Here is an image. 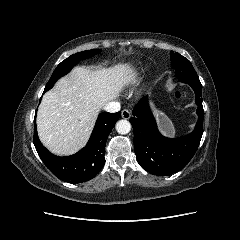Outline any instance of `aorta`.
I'll list each match as a JSON object with an SVG mask.
<instances>
[{"label": "aorta", "instance_id": "obj_1", "mask_svg": "<svg viewBox=\"0 0 240 240\" xmlns=\"http://www.w3.org/2000/svg\"><path fill=\"white\" fill-rule=\"evenodd\" d=\"M131 130V124L129 121L127 120H119L117 123H116V131L119 133V134H122V135H125V134H128Z\"/></svg>", "mask_w": 240, "mask_h": 240}]
</instances>
